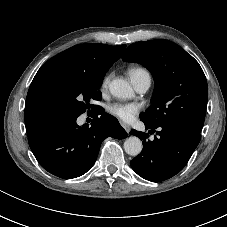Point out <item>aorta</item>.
<instances>
[{"label":"aorta","mask_w":227,"mask_h":227,"mask_svg":"<svg viewBox=\"0 0 227 227\" xmlns=\"http://www.w3.org/2000/svg\"><path fill=\"white\" fill-rule=\"evenodd\" d=\"M111 94L120 99H129L134 95L130 84L124 79H114L109 85ZM143 145L138 137L130 136L124 142V150L128 155L137 156L142 151Z\"/></svg>","instance_id":"obj_1"}]
</instances>
